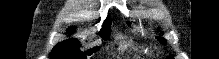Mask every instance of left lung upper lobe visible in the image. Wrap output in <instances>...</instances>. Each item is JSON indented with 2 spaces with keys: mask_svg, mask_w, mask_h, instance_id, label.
<instances>
[{
  "mask_svg": "<svg viewBox=\"0 0 219 59\" xmlns=\"http://www.w3.org/2000/svg\"><path fill=\"white\" fill-rule=\"evenodd\" d=\"M158 40L162 43V44H166V40L164 38H158Z\"/></svg>",
  "mask_w": 219,
  "mask_h": 59,
  "instance_id": "left-lung-upper-lobe-1",
  "label": "left lung upper lobe"
}]
</instances>
